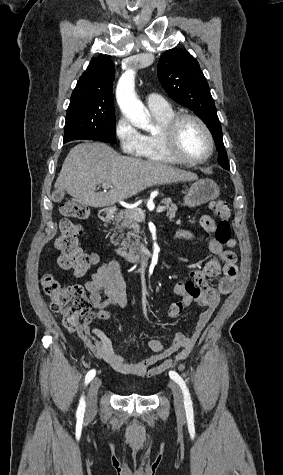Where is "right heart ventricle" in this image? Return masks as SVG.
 Returning a JSON list of instances; mask_svg holds the SVG:
<instances>
[{
	"label": "right heart ventricle",
	"mask_w": 283,
	"mask_h": 475,
	"mask_svg": "<svg viewBox=\"0 0 283 475\" xmlns=\"http://www.w3.org/2000/svg\"><path fill=\"white\" fill-rule=\"evenodd\" d=\"M155 120L159 123V129L156 132L146 133L144 136L145 139V149L143 157L148 161H160L164 162L162 157L158 152V140L159 134L165 124L176 114L172 107L169 105L165 109L150 110Z\"/></svg>",
	"instance_id": "obj_1"
}]
</instances>
